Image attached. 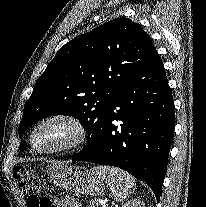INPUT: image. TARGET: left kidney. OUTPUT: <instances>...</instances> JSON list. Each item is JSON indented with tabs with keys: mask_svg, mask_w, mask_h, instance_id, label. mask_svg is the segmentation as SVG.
<instances>
[{
	"mask_svg": "<svg viewBox=\"0 0 206 207\" xmlns=\"http://www.w3.org/2000/svg\"><path fill=\"white\" fill-rule=\"evenodd\" d=\"M122 207H146L145 202L140 199H133L126 202Z\"/></svg>",
	"mask_w": 206,
	"mask_h": 207,
	"instance_id": "left-kidney-1",
	"label": "left kidney"
}]
</instances>
